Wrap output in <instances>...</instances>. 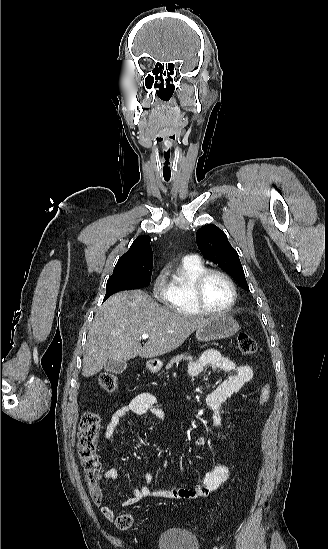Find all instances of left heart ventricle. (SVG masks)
I'll return each mask as SVG.
<instances>
[{
	"instance_id": "obj_1",
	"label": "left heart ventricle",
	"mask_w": 328,
	"mask_h": 549,
	"mask_svg": "<svg viewBox=\"0 0 328 549\" xmlns=\"http://www.w3.org/2000/svg\"><path fill=\"white\" fill-rule=\"evenodd\" d=\"M203 296L206 304L201 306L211 310H220L229 304L232 289L223 276L212 274L205 281Z\"/></svg>"
}]
</instances>
